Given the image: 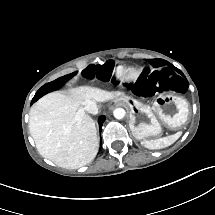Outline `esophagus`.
I'll return each instance as SVG.
<instances>
[{"label":"esophagus","instance_id":"obj_1","mask_svg":"<svg viewBox=\"0 0 215 215\" xmlns=\"http://www.w3.org/2000/svg\"><path fill=\"white\" fill-rule=\"evenodd\" d=\"M115 107V102L110 103L109 109H113Z\"/></svg>","mask_w":215,"mask_h":215}]
</instances>
